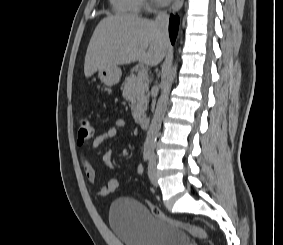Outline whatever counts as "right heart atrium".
Listing matches in <instances>:
<instances>
[{
  "label": "right heart atrium",
  "mask_w": 283,
  "mask_h": 245,
  "mask_svg": "<svg viewBox=\"0 0 283 245\" xmlns=\"http://www.w3.org/2000/svg\"><path fill=\"white\" fill-rule=\"evenodd\" d=\"M142 4L145 8H149V4L146 0H142Z\"/></svg>",
  "instance_id": "obj_1"
}]
</instances>
